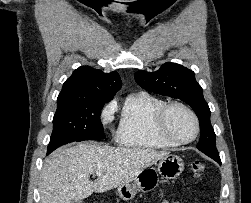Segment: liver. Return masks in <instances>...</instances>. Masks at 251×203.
Listing matches in <instances>:
<instances>
[{
    "mask_svg": "<svg viewBox=\"0 0 251 203\" xmlns=\"http://www.w3.org/2000/svg\"><path fill=\"white\" fill-rule=\"evenodd\" d=\"M167 151L79 143L55 150L42 168L41 203H71L132 182ZM102 173L95 181L91 174Z\"/></svg>",
    "mask_w": 251,
    "mask_h": 203,
    "instance_id": "obj_1",
    "label": "liver"
}]
</instances>
